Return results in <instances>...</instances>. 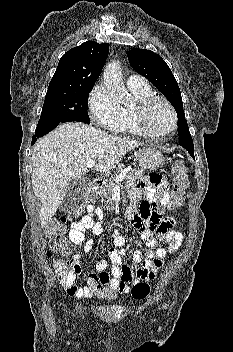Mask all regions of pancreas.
I'll list each match as a JSON object with an SVG mask.
<instances>
[{"label":"pancreas","mask_w":233,"mask_h":352,"mask_svg":"<svg viewBox=\"0 0 233 352\" xmlns=\"http://www.w3.org/2000/svg\"><path fill=\"white\" fill-rule=\"evenodd\" d=\"M122 167L123 166H120L117 169V172L114 174V176L111 179L105 180L103 183L102 197L107 200L103 205V207H106L107 210L112 208L111 195H112L114 186L118 184L117 182L114 181V179L120 173V171L122 170ZM143 177H144V172L142 169H139V168H134L133 170H131V172L128 175V179L130 181L143 179Z\"/></svg>","instance_id":"pancreas-1"}]
</instances>
